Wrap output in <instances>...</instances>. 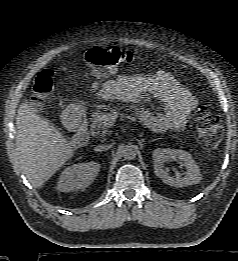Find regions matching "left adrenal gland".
<instances>
[{
    "label": "left adrenal gland",
    "mask_w": 238,
    "mask_h": 261,
    "mask_svg": "<svg viewBox=\"0 0 238 261\" xmlns=\"http://www.w3.org/2000/svg\"><path fill=\"white\" fill-rule=\"evenodd\" d=\"M157 139H153V140H151L150 142H153V141H156Z\"/></svg>",
    "instance_id": "a2214340"
}]
</instances>
